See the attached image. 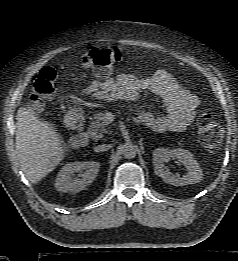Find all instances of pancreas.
I'll use <instances>...</instances> for the list:
<instances>
[{"label":"pancreas","mask_w":238,"mask_h":261,"mask_svg":"<svg viewBox=\"0 0 238 261\" xmlns=\"http://www.w3.org/2000/svg\"><path fill=\"white\" fill-rule=\"evenodd\" d=\"M106 123L103 119V114L101 112H95L92 118V122L88 128V134L95 140L101 139L105 133H107Z\"/></svg>","instance_id":"cf45deb5"}]
</instances>
